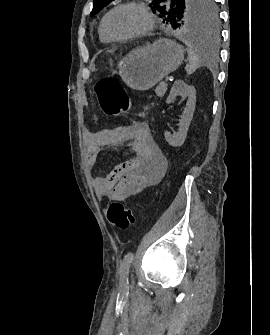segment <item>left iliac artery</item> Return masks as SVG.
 Here are the masks:
<instances>
[{"label": "left iliac artery", "mask_w": 270, "mask_h": 335, "mask_svg": "<svg viewBox=\"0 0 270 335\" xmlns=\"http://www.w3.org/2000/svg\"><path fill=\"white\" fill-rule=\"evenodd\" d=\"M133 257L134 254L132 252L125 255L120 266V283L123 288L128 287L129 268L132 263Z\"/></svg>", "instance_id": "left-iliac-artery-1"}]
</instances>
